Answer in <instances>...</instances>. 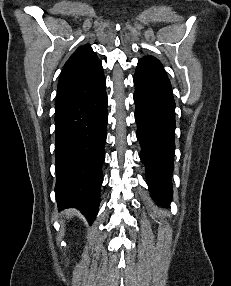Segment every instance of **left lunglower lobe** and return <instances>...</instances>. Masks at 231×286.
I'll return each mask as SVG.
<instances>
[{"mask_svg":"<svg viewBox=\"0 0 231 286\" xmlns=\"http://www.w3.org/2000/svg\"><path fill=\"white\" fill-rule=\"evenodd\" d=\"M134 85L140 158L146 167L152 197L167 206L172 195L175 149V102L171 84L158 60L142 58L134 75Z\"/></svg>","mask_w":231,"mask_h":286,"instance_id":"left-lung-lower-lobe-1","label":"left lung lower lobe"}]
</instances>
